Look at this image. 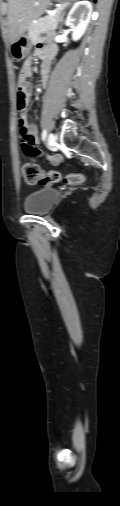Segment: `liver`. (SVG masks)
Here are the masks:
<instances>
[{
    "label": "liver",
    "instance_id": "6515ba94",
    "mask_svg": "<svg viewBox=\"0 0 120 506\" xmlns=\"http://www.w3.org/2000/svg\"><path fill=\"white\" fill-rule=\"evenodd\" d=\"M8 2L9 37L13 43L44 13L50 0H8Z\"/></svg>",
    "mask_w": 120,
    "mask_h": 506
}]
</instances>
